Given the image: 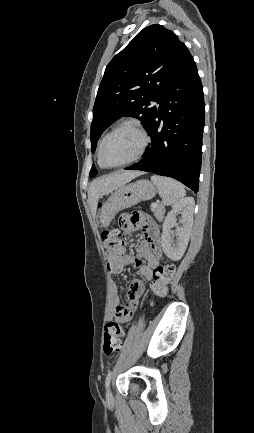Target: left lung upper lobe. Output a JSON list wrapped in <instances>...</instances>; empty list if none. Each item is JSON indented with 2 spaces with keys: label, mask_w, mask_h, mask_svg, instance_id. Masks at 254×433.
Segmentation results:
<instances>
[{
  "label": "left lung upper lobe",
  "mask_w": 254,
  "mask_h": 433,
  "mask_svg": "<svg viewBox=\"0 0 254 433\" xmlns=\"http://www.w3.org/2000/svg\"><path fill=\"white\" fill-rule=\"evenodd\" d=\"M188 52L177 35L154 24L141 30L107 65L99 85L91 124L92 153L101 134L122 116L141 120L149 128L169 82ZM97 170L93 166L90 177Z\"/></svg>",
  "instance_id": "left-lung-upper-lobe-1"
}]
</instances>
